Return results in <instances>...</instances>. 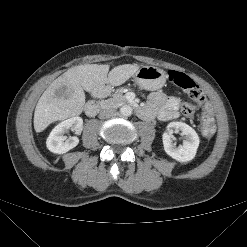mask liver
I'll use <instances>...</instances> for the list:
<instances>
[{
	"mask_svg": "<svg viewBox=\"0 0 247 247\" xmlns=\"http://www.w3.org/2000/svg\"><path fill=\"white\" fill-rule=\"evenodd\" d=\"M108 64L75 66L54 80L40 97L34 112V129L42 132L51 123L80 115L85 105V93L99 86H119L138 70L137 64H123L109 72Z\"/></svg>",
	"mask_w": 247,
	"mask_h": 247,
	"instance_id": "obj_1",
	"label": "liver"
}]
</instances>
